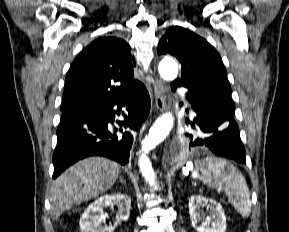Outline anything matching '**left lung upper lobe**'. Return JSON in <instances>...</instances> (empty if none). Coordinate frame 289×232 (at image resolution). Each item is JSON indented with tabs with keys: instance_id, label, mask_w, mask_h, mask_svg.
I'll list each match as a JSON object with an SVG mask.
<instances>
[{
	"instance_id": "left-lung-upper-lobe-1",
	"label": "left lung upper lobe",
	"mask_w": 289,
	"mask_h": 232,
	"mask_svg": "<svg viewBox=\"0 0 289 232\" xmlns=\"http://www.w3.org/2000/svg\"><path fill=\"white\" fill-rule=\"evenodd\" d=\"M158 54H170L181 63V78L174 83L189 92L200 93L231 106V86L218 52L202 37L179 27H170L159 43ZM185 147L187 138H183Z\"/></svg>"
}]
</instances>
